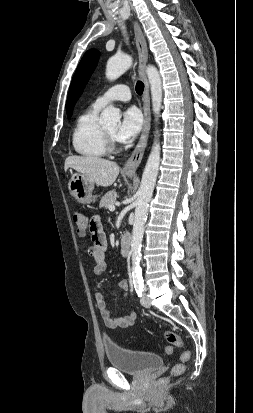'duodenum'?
I'll return each instance as SVG.
<instances>
[{"instance_id":"obj_1","label":"duodenum","mask_w":253,"mask_h":413,"mask_svg":"<svg viewBox=\"0 0 253 413\" xmlns=\"http://www.w3.org/2000/svg\"><path fill=\"white\" fill-rule=\"evenodd\" d=\"M131 247V236L129 233H124L121 237V255L123 257H128L130 254Z\"/></svg>"}]
</instances>
